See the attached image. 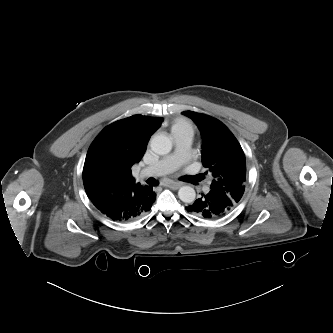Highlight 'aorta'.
Instances as JSON below:
<instances>
[{"mask_svg": "<svg viewBox=\"0 0 333 333\" xmlns=\"http://www.w3.org/2000/svg\"><path fill=\"white\" fill-rule=\"evenodd\" d=\"M150 146L155 153L165 155L171 151L172 142L165 135H155L151 139ZM178 196L184 203H192L195 200L196 192L191 186H183L179 189Z\"/></svg>", "mask_w": 333, "mask_h": 333, "instance_id": "762f6f07", "label": "aorta"}]
</instances>
